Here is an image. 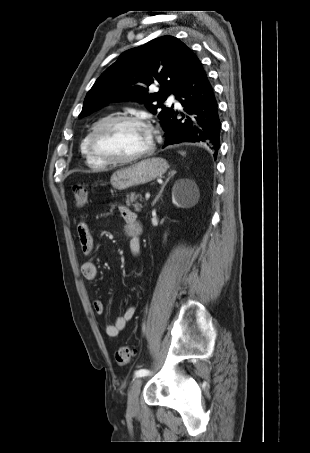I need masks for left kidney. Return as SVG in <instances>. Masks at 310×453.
<instances>
[{"instance_id":"left-kidney-1","label":"left kidney","mask_w":310,"mask_h":453,"mask_svg":"<svg viewBox=\"0 0 310 453\" xmlns=\"http://www.w3.org/2000/svg\"><path fill=\"white\" fill-rule=\"evenodd\" d=\"M196 189L192 186H179L173 193L172 202L177 207H181L190 202V199Z\"/></svg>"}]
</instances>
